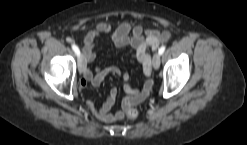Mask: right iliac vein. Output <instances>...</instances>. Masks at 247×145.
<instances>
[{
	"instance_id": "right-iliac-vein-1",
	"label": "right iliac vein",
	"mask_w": 247,
	"mask_h": 145,
	"mask_svg": "<svg viewBox=\"0 0 247 145\" xmlns=\"http://www.w3.org/2000/svg\"><path fill=\"white\" fill-rule=\"evenodd\" d=\"M78 70L80 74H84L86 70V61L83 53L81 54L79 59Z\"/></svg>"
}]
</instances>
